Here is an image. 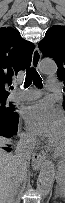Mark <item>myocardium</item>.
Here are the masks:
<instances>
[{"label":"myocardium","instance_id":"myocardium-1","mask_svg":"<svg viewBox=\"0 0 65 203\" xmlns=\"http://www.w3.org/2000/svg\"><path fill=\"white\" fill-rule=\"evenodd\" d=\"M50 148H51L52 152H53L56 156H60V157L65 156V149L61 151V150L55 148L52 144L50 145Z\"/></svg>","mask_w":65,"mask_h":203}]
</instances>
